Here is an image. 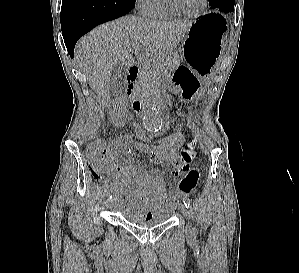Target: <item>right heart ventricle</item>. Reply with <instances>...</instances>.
<instances>
[{"mask_svg":"<svg viewBox=\"0 0 299 273\" xmlns=\"http://www.w3.org/2000/svg\"><path fill=\"white\" fill-rule=\"evenodd\" d=\"M145 15L155 19H167L177 14L168 7L166 0H154Z\"/></svg>","mask_w":299,"mask_h":273,"instance_id":"right-heart-ventricle-1","label":"right heart ventricle"}]
</instances>
